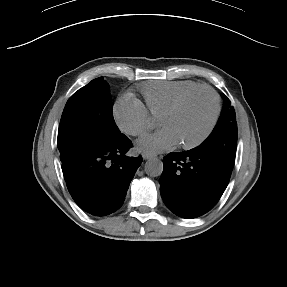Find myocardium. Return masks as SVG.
I'll list each match as a JSON object with an SVG mask.
<instances>
[{"instance_id": "obj_1", "label": "myocardium", "mask_w": 287, "mask_h": 287, "mask_svg": "<svg viewBox=\"0 0 287 287\" xmlns=\"http://www.w3.org/2000/svg\"><path fill=\"white\" fill-rule=\"evenodd\" d=\"M201 91L207 92L212 97L213 113H212L210 122L208 124V127L206 128V130L204 131V133L200 137H198L197 139H195L191 142L179 143V146L183 149H186V150L193 149V148L201 145L202 143H204L209 138V136L213 132V130L216 126V123L218 121L219 114H220V100H219L218 94L209 86L199 85L197 87H194V88L188 90L183 95H181L161 116V120H162L164 118H167V117L174 115L191 96H193L194 94L201 92Z\"/></svg>"}]
</instances>
